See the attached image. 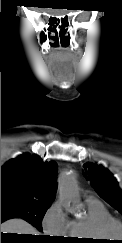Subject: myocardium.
Here are the masks:
<instances>
[{
    "instance_id": "1",
    "label": "myocardium",
    "mask_w": 122,
    "mask_h": 243,
    "mask_svg": "<svg viewBox=\"0 0 122 243\" xmlns=\"http://www.w3.org/2000/svg\"><path fill=\"white\" fill-rule=\"evenodd\" d=\"M115 230H119L122 232V222L115 220V219H111L108 220L106 222H104L101 225V234L105 237V238H109V237H113L114 235V231Z\"/></svg>"
}]
</instances>
